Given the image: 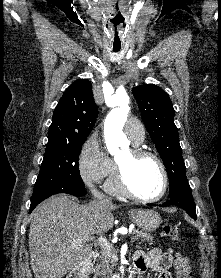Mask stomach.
Wrapping results in <instances>:
<instances>
[{"instance_id": "obj_1", "label": "stomach", "mask_w": 221, "mask_h": 278, "mask_svg": "<svg viewBox=\"0 0 221 278\" xmlns=\"http://www.w3.org/2000/svg\"><path fill=\"white\" fill-rule=\"evenodd\" d=\"M128 215L139 229L146 232L155 231L162 223L160 214L150 209H131Z\"/></svg>"}]
</instances>
